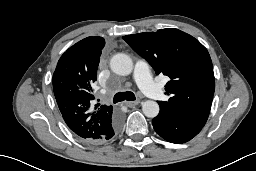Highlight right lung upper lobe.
Returning <instances> with one entry per match:
<instances>
[{
  "label": "right lung upper lobe",
  "instance_id": "right-lung-upper-lobe-1",
  "mask_svg": "<svg viewBox=\"0 0 256 171\" xmlns=\"http://www.w3.org/2000/svg\"><path fill=\"white\" fill-rule=\"evenodd\" d=\"M102 37H87L71 46L59 59L53 74L54 95L67 126L88 142L103 140L115 115L113 107L92 105Z\"/></svg>",
  "mask_w": 256,
  "mask_h": 171
}]
</instances>
